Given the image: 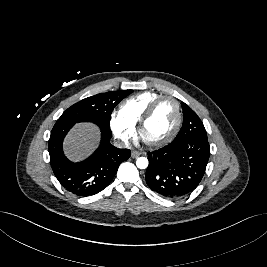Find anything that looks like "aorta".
<instances>
[{
  "mask_svg": "<svg viewBox=\"0 0 267 267\" xmlns=\"http://www.w3.org/2000/svg\"><path fill=\"white\" fill-rule=\"evenodd\" d=\"M136 166L139 168V169H146L148 167V159L145 158V157H139L137 160H136Z\"/></svg>",
  "mask_w": 267,
  "mask_h": 267,
  "instance_id": "1",
  "label": "aorta"
}]
</instances>
